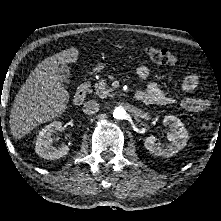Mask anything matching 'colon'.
I'll use <instances>...</instances> for the list:
<instances>
[{
    "instance_id": "obj_1",
    "label": "colon",
    "mask_w": 221,
    "mask_h": 221,
    "mask_svg": "<svg viewBox=\"0 0 221 221\" xmlns=\"http://www.w3.org/2000/svg\"><path fill=\"white\" fill-rule=\"evenodd\" d=\"M145 55L155 63L174 65L177 62V57L174 53L167 49H160L156 47H147L145 49ZM204 129H211L213 123L210 120H205L202 124Z\"/></svg>"
}]
</instances>
